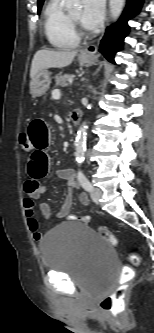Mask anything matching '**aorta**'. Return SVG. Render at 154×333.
Segmentation results:
<instances>
[{
  "mask_svg": "<svg viewBox=\"0 0 154 333\" xmlns=\"http://www.w3.org/2000/svg\"><path fill=\"white\" fill-rule=\"evenodd\" d=\"M125 0H109L110 6V16L111 19L115 22L121 15L123 5ZM80 4V0H67L66 8L67 9H75ZM86 136H87V125L84 122L79 131L77 132V137L75 141L76 151L75 157L77 163L80 165L84 160L85 146H86Z\"/></svg>",
  "mask_w": 154,
  "mask_h": 333,
  "instance_id": "762f6f07",
  "label": "aorta"
}]
</instances>
